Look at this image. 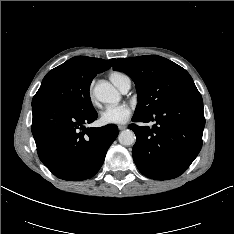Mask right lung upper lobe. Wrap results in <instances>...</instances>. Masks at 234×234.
Returning a JSON list of instances; mask_svg holds the SVG:
<instances>
[{
    "mask_svg": "<svg viewBox=\"0 0 234 234\" xmlns=\"http://www.w3.org/2000/svg\"><path fill=\"white\" fill-rule=\"evenodd\" d=\"M114 60L115 59H110L106 61L99 58L77 56L71 58L69 61L83 73L97 75L98 73L108 70L112 66Z\"/></svg>",
    "mask_w": 234,
    "mask_h": 234,
    "instance_id": "obj_1",
    "label": "right lung upper lobe"
}]
</instances>
